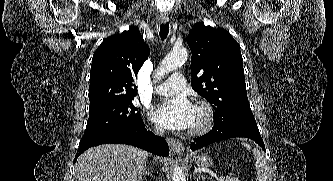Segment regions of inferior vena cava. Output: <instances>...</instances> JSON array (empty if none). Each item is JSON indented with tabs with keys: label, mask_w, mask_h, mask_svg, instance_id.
<instances>
[{
	"label": "inferior vena cava",
	"mask_w": 333,
	"mask_h": 181,
	"mask_svg": "<svg viewBox=\"0 0 333 181\" xmlns=\"http://www.w3.org/2000/svg\"><path fill=\"white\" fill-rule=\"evenodd\" d=\"M164 130L161 128H156L155 129V134L159 135V136H163L164 135Z\"/></svg>",
	"instance_id": "obj_1"
}]
</instances>
